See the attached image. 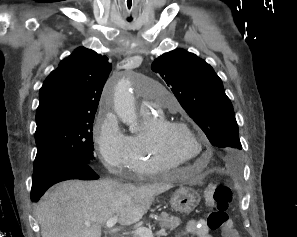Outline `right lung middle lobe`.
<instances>
[{"instance_id": "dd1d6c3e", "label": "right lung middle lobe", "mask_w": 297, "mask_h": 237, "mask_svg": "<svg viewBox=\"0 0 297 237\" xmlns=\"http://www.w3.org/2000/svg\"><path fill=\"white\" fill-rule=\"evenodd\" d=\"M85 117L54 116L37 123L32 186L44 183L49 168L59 162L84 161L93 156V121Z\"/></svg>"}]
</instances>
